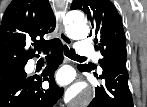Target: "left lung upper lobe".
I'll return each instance as SVG.
<instances>
[{
  "instance_id": "left-lung-upper-lobe-1",
  "label": "left lung upper lobe",
  "mask_w": 147,
  "mask_h": 107,
  "mask_svg": "<svg viewBox=\"0 0 147 107\" xmlns=\"http://www.w3.org/2000/svg\"><path fill=\"white\" fill-rule=\"evenodd\" d=\"M71 9L87 14L92 26L90 36L93 34L95 49L103 56L99 59L100 66L110 58L127 57L122 19L110 0H74ZM80 66L96 69L94 64Z\"/></svg>"
}]
</instances>
